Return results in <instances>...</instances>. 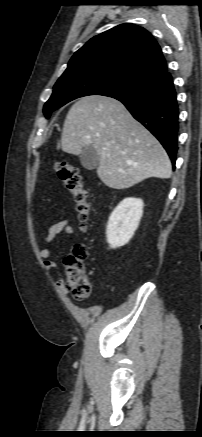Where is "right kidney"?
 <instances>
[{
  "mask_svg": "<svg viewBox=\"0 0 202 437\" xmlns=\"http://www.w3.org/2000/svg\"><path fill=\"white\" fill-rule=\"evenodd\" d=\"M143 215V201L139 198H125L111 213L107 229V242L115 249L126 245L137 230Z\"/></svg>",
  "mask_w": 202,
  "mask_h": 437,
  "instance_id": "obj_1",
  "label": "right kidney"
}]
</instances>
